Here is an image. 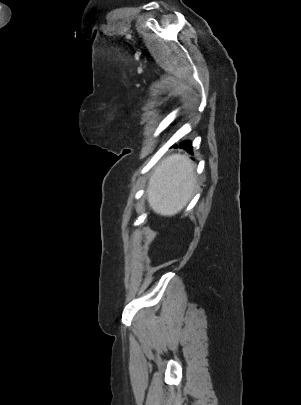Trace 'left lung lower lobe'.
<instances>
[{
    "mask_svg": "<svg viewBox=\"0 0 301 405\" xmlns=\"http://www.w3.org/2000/svg\"><path fill=\"white\" fill-rule=\"evenodd\" d=\"M175 147H178L177 145ZM180 148L192 153V142L187 140L180 142Z\"/></svg>",
    "mask_w": 301,
    "mask_h": 405,
    "instance_id": "obj_1",
    "label": "left lung lower lobe"
}]
</instances>
